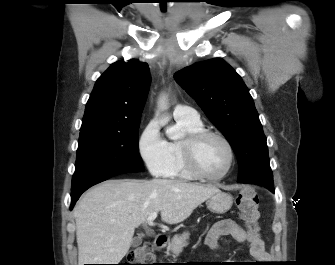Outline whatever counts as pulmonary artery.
<instances>
[{"mask_svg": "<svg viewBox=\"0 0 335 265\" xmlns=\"http://www.w3.org/2000/svg\"><path fill=\"white\" fill-rule=\"evenodd\" d=\"M175 119L186 120L190 122L200 121V116L198 112L189 106L186 105H177L173 112Z\"/></svg>", "mask_w": 335, "mask_h": 265, "instance_id": "e3ab8cb5", "label": "pulmonary artery"}]
</instances>
